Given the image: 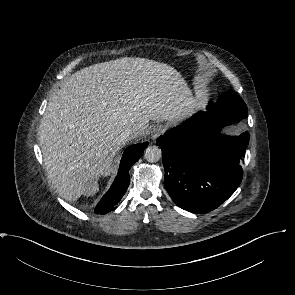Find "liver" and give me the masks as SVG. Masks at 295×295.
I'll return each instance as SVG.
<instances>
[{
  "instance_id": "liver-1",
  "label": "liver",
  "mask_w": 295,
  "mask_h": 295,
  "mask_svg": "<svg viewBox=\"0 0 295 295\" xmlns=\"http://www.w3.org/2000/svg\"><path fill=\"white\" fill-rule=\"evenodd\" d=\"M200 106L181 74L165 63L123 57L77 71L50 98L39 127L53 186L68 201L94 195L125 129L137 130L136 138L149 120L179 121Z\"/></svg>"
}]
</instances>
